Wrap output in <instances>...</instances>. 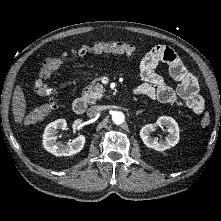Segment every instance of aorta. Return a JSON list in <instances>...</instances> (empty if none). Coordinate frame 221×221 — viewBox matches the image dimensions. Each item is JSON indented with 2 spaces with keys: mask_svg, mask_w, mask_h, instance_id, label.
I'll list each match as a JSON object with an SVG mask.
<instances>
[{
  "mask_svg": "<svg viewBox=\"0 0 221 221\" xmlns=\"http://www.w3.org/2000/svg\"><path fill=\"white\" fill-rule=\"evenodd\" d=\"M125 116L122 112H114L112 114V120L115 124H121L124 122Z\"/></svg>",
  "mask_w": 221,
  "mask_h": 221,
  "instance_id": "aorta-1",
  "label": "aorta"
}]
</instances>
